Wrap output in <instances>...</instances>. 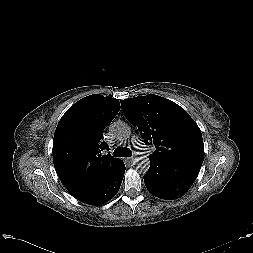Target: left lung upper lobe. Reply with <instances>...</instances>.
Masks as SVG:
<instances>
[{
	"label": "left lung upper lobe",
	"mask_w": 253,
	"mask_h": 253,
	"mask_svg": "<svg viewBox=\"0 0 253 253\" xmlns=\"http://www.w3.org/2000/svg\"><path fill=\"white\" fill-rule=\"evenodd\" d=\"M121 108L126 118L138 127L146 145H155L156 150L149 157L203 162L201 131L176 103L149 94L121 100Z\"/></svg>",
	"instance_id": "5c2ea615"
}]
</instances>
